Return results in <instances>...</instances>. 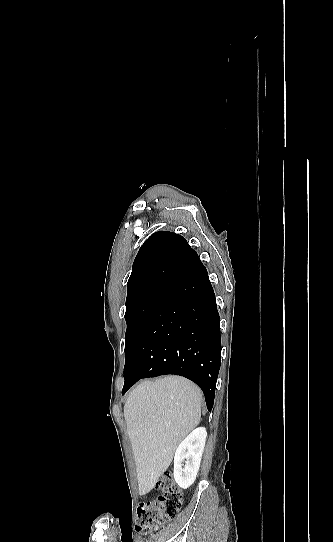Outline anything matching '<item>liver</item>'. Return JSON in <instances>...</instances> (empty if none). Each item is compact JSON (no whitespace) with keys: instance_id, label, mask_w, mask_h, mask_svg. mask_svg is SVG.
Returning <instances> with one entry per match:
<instances>
[{"instance_id":"obj_1","label":"liver","mask_w":333,"mask_h":542,"mask_svg":"<svg viewBox=\"0 0 333 542\" xmlns=\"http://www.w3.org/2000/svg\"><path fill=\"white\" fill-rule=\"evenodd\" d=\"M202 392L181 376L144 380L124 406L139 496L149 494L169 468L180 442L201 420Z\"/></svg>"}]
</instances>
